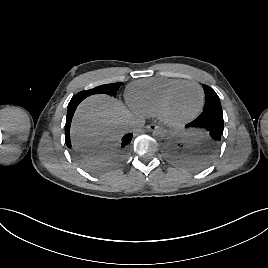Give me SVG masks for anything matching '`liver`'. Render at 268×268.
Returning <instances> with one entry per match:
<instances>
[{
  "label": "liver",
  "mask_w": 268,
  "mask_h": 268,
  "mask_svg": "<svg viewBox=\"0 0 268 268\" xmlns=\"http://www.w3.org/2000/svg\"><path fill=\"white\" fill-rule=\"evenodd\" d=\"M131 113L117 100L105 95L85 99L78 107L71 127L73 143L86 149L118 141L128 130Z\"/></svg>",
  "instance_id": "1"
}]
</instances>
